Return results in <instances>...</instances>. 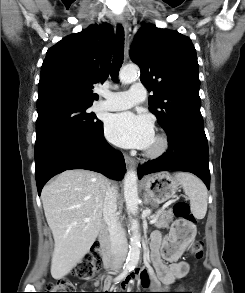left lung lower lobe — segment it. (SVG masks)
<instances>
[{"label": "left lung lower lobe", "mask_w": 245, "mask_h": 293, "mask_svg": "<svg viewBox=\"0 0 245 293\" xmlns=\"http://www.w3.org/2000/svg\"><path fill=\"white\" fill-rule=\"evenodd\" d=\"M166 133L169 150L156 160L139 166V179L143 175L159 171H186L197 175L209 189V154L204 127L178 124Z\"/></svg>", "instance_id": "0a47b994"}]
</instances>
